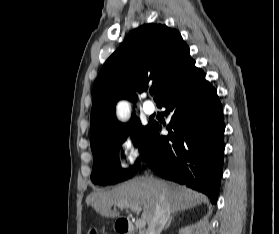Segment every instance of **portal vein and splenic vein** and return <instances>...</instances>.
Instances as JSON below:
<instances>
[{
	"mask_svg": "<svg viewBox=\"0 0 279 234\" xmlns=\"http://www.w3.org/2000/svg\"><path fill=\"white\" fill-rule=\"evenodd\" d=\"M118 207L120 208H130L132 211H141V207L139 205H132V204H128V203H120L118 204ZM136 227L141 229L145 226V221L142 219H139L136 221L135 223Z\"/></svg>",
	"mask_w": 279,
	"mask_h": 234,
	"instance_id": "portal-vein-and-splenic-vein-1",
	"label": "portal vein and splenic vein"
}]
</instances>
